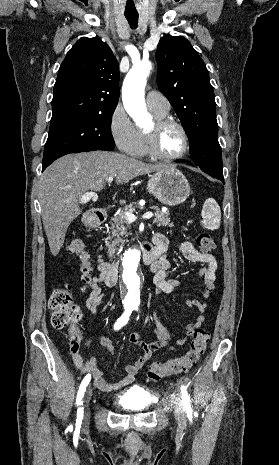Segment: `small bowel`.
<instances>
[{
    "label": "small bowel",
    "mask_w": 279,
    "mask_h": 465,
    "mask_svg": "<svg viewBox=\"0 0 279 465\" xmlns=\"http://www.w3.org/2000/svg\"><path fill=\"white\" fill-rule=\"evenodd\" d=\"M152 241L154 247L158 251L157 259L150 265V268L154 273V284L157 292L172 293L178 288L179 283L176 280L169 278V273L173 269V265L168 259L170 242L167 237L161 233H155ZM178 247L182 256L186 260L204 265V268H202L199 272V278L203 288V298H209L214 290L216 279L217 261L215 257L212 254L198 251L190 241H184L180 243ZM109 267L110 264L104 261L102 257H99L98 270L100 274L89 281L91 291L86 300V307L92 314H96L103 303L104 293L101 284L103 282L106 283V273ZM186 305L189 308L196 310L199 315L193 323L186 326L185 335L176 340L178 345H184L188 338L192 336L195 330L200 328L205 321L203 313L207 309L206 301L188 299L186 301ZM153 321L154 328L152 332L158 339L156 342H144L138 332H133L128 335L129 342L140 347L142 349V353L134 363L125 367V375L120 380L115 382L107 381L104 378L103 372L98 368L97 358L94 356L84 360L78 353H75L73 354L75 365L82 373H91L93 375L95 385L104 392L117 391L131 385L134 382L136 375L149 362L152 355L159 349H162L171 343L169 328L160 322L156 314H153ZM95 338L99 340L102 347H104L110 355H114L113 344L110 338L106 335H97L92 337L85 343V347L89 348Z\"/></svg>",
    "instance_id": "c3829d8e"
}]
</instances>
